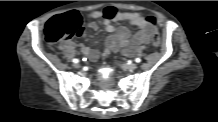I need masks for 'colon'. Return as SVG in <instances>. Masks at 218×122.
Listing matches in <instances>:
<instances>
[{
    "label": "colon",
    "mask_w": 218,
    "mask_h": 122,
    "mask_svg": "<svg viewBox=\"0 0 218 122\" xmlns=\"http://www.w3.org/2000/svg\"><path fill=\"white\" fill-rule=\"evenodd\" d=\"M145 19L152 25L156 23V18L153 15H147ZM82 31L83 19L81 14L77 11H69L50 19L46 24L44 33L46 40L50 44H56L71 37L78 36ZM152 43L155 47H158L160 44V39L156 32L152 35Z\"/></svg>",
    "instance_id": "5ec220e1"
}]
</instances>
